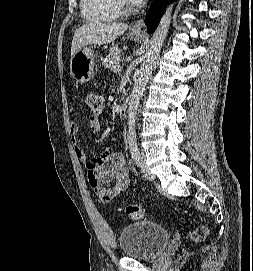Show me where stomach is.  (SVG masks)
Segmentation results:
<instances>
[{
  "label": "stomach",
  "instance_id": "stomach-1",
  "mask_svg": "<svg viewBox=\"0 0 253 271\" xmlns=\"http://www.w3.org/2000/svg\"><path fill=\"white\" fill-rule=\"evenodd\" d=\"M129 37L137 41L142 38V35L131 32ZM70 72L79 83H86L94 77L96 72L94 54L91 48L83 47L71 57Z\"/></svg>",
  "mask_w": 253,
  "mask_h": 271
}]
</instances>
